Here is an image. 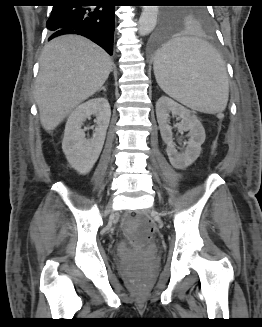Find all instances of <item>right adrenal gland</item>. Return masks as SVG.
<instances>
[{"instance_id": "1", "label": "right adrenal gland", "mask_w": 262, "mask_h": 327, "mask_svg": "<svg viewBox=\"0 0 262 327\" xmlns=\"http://www.w3.org/2000/svg\"><path fill=\"white\" fill-rule=\"evenodd\" d=\"M99 91H104V92H106V88H105V87H102Z\"/></svg>"}]
</instances>
